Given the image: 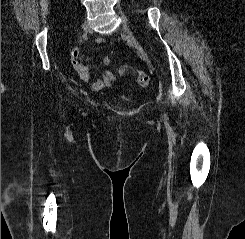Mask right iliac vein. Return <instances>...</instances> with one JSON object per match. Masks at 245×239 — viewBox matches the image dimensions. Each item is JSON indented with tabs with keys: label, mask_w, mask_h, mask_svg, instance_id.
<instances>
[{
	"label": "right iliac vein",
	"mask_w": 245,
	"mask_h": 239,
	"mask_svg": "<svg viewBox=\"0 0 245 239\" xmlns=\"http://www.w3.org/2000/svg\"><path fill=\"white\" fill-rule=\"evenodd\" d=\"M82 28H83L84 32H87L88 33V32L91 31V26H90V24L87 21H85L83 23Z\"/></svg>",
	"instance_id": "1"
}]
</instances>
